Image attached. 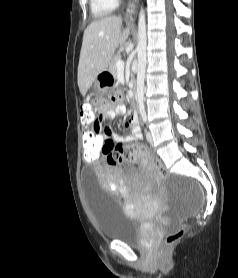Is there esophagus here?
<instances>
[{"instance_id":"1","label":"esophagus","mask_w":238,"mask_h":278,"mask_svg":"<svg viewBox=\"0 0 238 278\" xmlns=\"http://www.w3.org/2000/svg\"><path fill=\"white\" fill-rule=\"evenodd\" d=\"M138 1L139 0H129L128 7H127V17L130 20H133L134 18Z\"/></svg>"}]
</instances>
